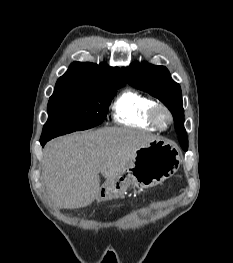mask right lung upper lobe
Instances as JSON below:
<instances>
[{"label": "right lung upper lobe", "mask_w": 233, "mask_h": 263, "mask_svg": "<svg viewBox=\"0 0 233 263\" xmlns=\"http://www.w3.org/2000/svg\"><path fill=\"white\" fill-rule=\"evenodd\" d=\"M125 82L118 67L105 63L73 62L68 71L57 80L52 96L78 93H97L122 87Z\"/></svg>", "instance_id": "1"}]
</instances>
